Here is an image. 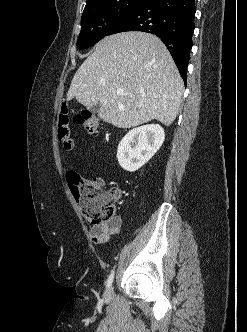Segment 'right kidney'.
Here are the masks:
<instances>
[{"instance_id":"1","label":"right kidney","mask_w":247,"mask_h":332,"mask_svg":"<svg viewBox=\"0 0 247 332\" xmlns=\"http://www.w3.org/2000/svg\"><path fill=\"white\" fill-rule=\"evenodd\" d=\"M164 139V129L159 124H147L130 130L118 145L120 166L129 172L138 170L154 156Z\"/></svg>"}]
</instances>
